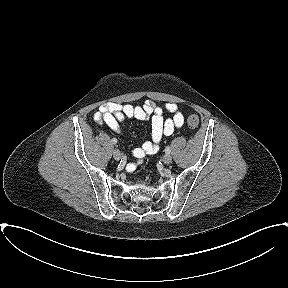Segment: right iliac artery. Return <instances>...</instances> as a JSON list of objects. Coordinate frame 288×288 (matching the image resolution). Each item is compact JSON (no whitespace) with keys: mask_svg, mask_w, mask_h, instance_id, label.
<instances>
[{"mask_svg":"<svg viewBox=\"0 0 288 288\" xmlns=\"http://www.w3.org/2000/svg\"><path fill=\"white\" fill-rule=\"evenodd\" d=\"M111 142H112L113 144H116V143H117V139H116V138H113V139L111 140Z\"/></svg>","mask_w":288,"mask_h":288,"instance_id":"right-iliac-artery-1","label":"right iliac artery"}]
</instances>
